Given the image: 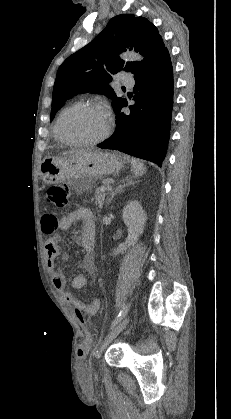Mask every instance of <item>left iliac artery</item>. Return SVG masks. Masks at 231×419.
<instances>
[{"instance_id":"obj_1","label":"left iliac artery","mask_w":231,"mask_h":419,"mask_svg":"<svg viewBox=\"0 0 231 419\" xmlns=\"http://www.w3.org/2000/svg\"><path fill=\"white\" fill-rule=\"evenodd\" d=\"M127 312H128V306L124 304L118 316L113 320L111 324V328L116 326L125 317Z\"/></svg>"}]
</instances>
